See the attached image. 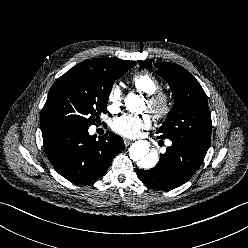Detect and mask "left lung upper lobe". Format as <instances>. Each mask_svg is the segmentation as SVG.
Here are the masks:
<instances>
[{
	"mask_svg": "<svg viewBox=\"0 0 248 248\" xmlns=\"http://www.w3.org/2000/svg\"><path fill=\"white\" fill-rule=\"evenodd\" d=\"M140 65L151 69L149 61ZM174 94L173 108L158 129L159 138H168L191 149L207 152L212 129L207 98L199 82L183 67L169 62L154 65Z\"/></svg>",
	"mask_w": 248,
	"mask_h": 248,
	"instance_id": "obj_1",
	"label": "left lung upper lobe"
}]
</instances>
